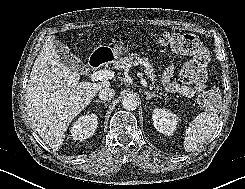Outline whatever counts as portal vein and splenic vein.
<instances>
[{"label": "portal vein and splenic vein", "mask_w": 245, "mask_h": 189, "mask_svg": "<svg viewBox=\"0 0 245 189\" xmlns=\"http://www.w3.org/2000/svg\"><path fill=\"white\" fill-rule=\"evenodd\" d=\"M114 77V72L110 71V70H99L94 72L91 75V80L92 81H103V80H109L112 79ZM141 84L143 86H146L147 83L144 79L141 80Z\"/></svg>", "instance_id": "1"}]
</instances>
